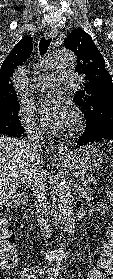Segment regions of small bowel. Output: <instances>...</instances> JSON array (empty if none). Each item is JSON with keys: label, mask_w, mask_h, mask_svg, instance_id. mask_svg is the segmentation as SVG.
Returning a JSON list of instances; mask_svg holds the SVG:
<instances>
[{"label": "small bowel", "mask_w": 113, "mask_h": 279, "mask_svg": "<svg viewBox=\"0 0 113 279\" xmlns=\"http://www.w3.org/2000/svg\"><path fill=\"white\" fill-rule=\"evenodd\" d=\"M98 268L105 271L111 276V279H113V226L107 233V238L103 245L102 254L98 259Z\"/></svg>", "instance_id": "1"}]
</instances>
